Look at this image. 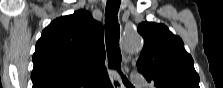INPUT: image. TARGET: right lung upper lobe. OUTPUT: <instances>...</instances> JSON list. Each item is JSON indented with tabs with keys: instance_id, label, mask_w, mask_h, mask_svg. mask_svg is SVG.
Returning <instances> with one entry per match:
<instances>
[{
	"instance_id": "obj_1",
	"label": "right lung upper lobe",
	"mask_w": 223,
	"mask_h": 88,
	"mask_svg": "<svg viewBox=\"0 0 223 88\" xmlns=\"http://www.w3.org/2000/svg\"><path fill=\"white\" fill-rule=\"evenodd\" d=\"M104 30L86 10L55 19L33 55V88H99L108 79Z\"/></svg>"
}]
</instances>
